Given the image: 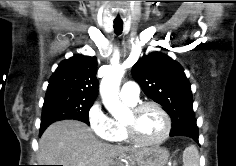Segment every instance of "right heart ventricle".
<instances>
[{
    "mask_svg": "<svg viewBox=\"0 0 236 166\" xmlns=\"http://www.w3.org/2000/svg\"><path fill=\"white\" fill-rule=\"evenodd\" d=\"M124 102L129 106H134L135 103L129 102L124 100ZM113 122V129H114V136L112 141L118 142V143H129L130 139L126 133V130L124 128V125L119 120H112Z\"/></svg>",
    "mask_w": 236,
    "mask_h": 166,
    "instance_id": "1",
    "label": "right heart ventricle"
}]
</instances>
